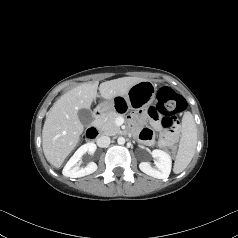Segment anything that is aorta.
Instances as JSON below:
<instances>
[{"label": "aorta", "instance_id": "762f6f07", "mask_svg": "<svg viewBox=\"0 0 238 238\" xmlns=\"http://www.w3.org/2000/svg\"><path fill=\"white\" fill-rule=\"evenodd\" d=\"M117 142H118L119 145H124L125 144V138L124 137H119L117 139Z\"/></svg>", "mask_w": 238, "mask_h": 238}]
</instances>
